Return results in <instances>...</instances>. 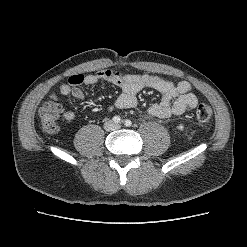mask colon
<instances>
[{"label": "colon", "instance_id": "obj_1", "mask_svg": "<svg viewBox=\"0 0 247 247\" xmlns=\"http://www.w3.org/2000/svg\"><path fill=\"white\" fill-rule=\"evenodd\" d=\"M61 108L59 103L53 98L45 102L39 109V117L43 127L48 132H53L57 128V118L59 117ZM196 119L200 122L208 121L212 116V109L207 104H199L195 110Z\"/></svg>", "mask_w": 247, "mask_h": 247}]
</instances>
